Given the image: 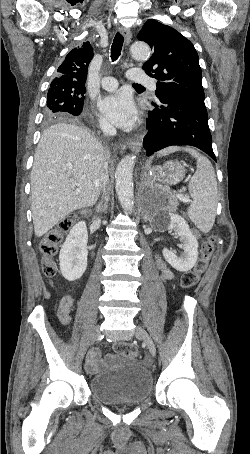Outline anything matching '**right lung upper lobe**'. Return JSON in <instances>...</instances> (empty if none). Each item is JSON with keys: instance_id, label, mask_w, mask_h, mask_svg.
I'll return each mask as SVG.
<instances>
[{"instance_id": "1", "label": "right lung upper lobe", "mask_w": 250, "mask_h": 454, "mask_svg": "<svg viewBox=\"0 0 250 454\" xmlns=\"http://www.w3.org/2000/svg\"><path fill=\"white\" fill-rule=\"evenodd\" d=\"M92 58L93 49L89 42L74 48L57 69V77L51 82L50 88L64 91L85 88L87 68Z\"/></svg>"}]
</instances>
